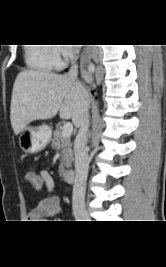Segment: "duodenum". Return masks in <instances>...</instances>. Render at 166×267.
I'll return each instance as SVG.
<instances>
[{"mask_svg": "<svg viewBox=\"0 0 166 267\" xmlns=\"http://www.w3.org/2000/svg\"><path fill=\"white\" fill-rule=\"evenodd\" d=\"M75 176L76 171L74 169H69L64 173V177L67 182H74Z\"/></svg>", "mask_w": 166, "mask_h": 267, "instance_id": "obj_1", "label": "duodenum"}]
</instances>
